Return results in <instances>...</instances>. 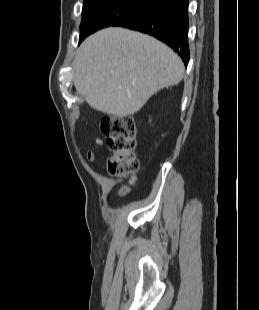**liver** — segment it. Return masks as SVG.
<instances>
[{"instance_id": "obj_1", "label": "liver", "mask_w": 259, "mask_h": 310, "mask_svg": "<svg viewBox=\"0 0 259 310\" xmlns=\"http://www.w3.org/2000/svg\"><path fill=\"white\" fill-rule=\"evenodd\" d=\"M74 86L90 107L124 117L184 76L180 57L157 39L111 27L83 41L73 61Z\"/></svg>"}]
</instances>
